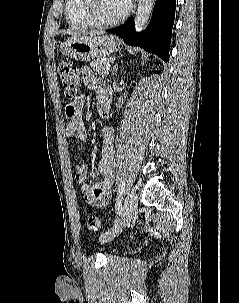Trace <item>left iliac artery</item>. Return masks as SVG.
Returning a JSON list of instances; mask_svg holds the SVG:
<instances>
[{"label":"left iliac artery","instance_id":"obj_1","mask_svg":"<svg viewBox=\"0 0 239 303\" xmlns=\"http://www.w3.org/2000/svg\"><path fill=\"white\" fill-rule=\"evenodd\" d=\"M125 193V181L121 180L119 187H118V196H117V200H116V211H117V215H121L122 214V199H123V195Z\"/></svg>","mask_w":239,"mask_h":303}]
</instances>
